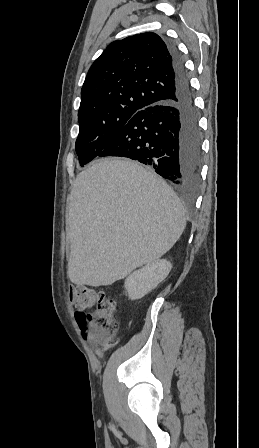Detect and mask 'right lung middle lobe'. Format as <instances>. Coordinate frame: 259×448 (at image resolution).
Instances as JSON below:
<instances>
[{
  "mask_svg": "<svg viewBox=\"0 0 259 448\" xmlns=\"http://www.w3.org/2000/svg\"><path fill=\"white\" fill-rule=\"evenodd\" d=\"M140 109H128L109 114L87 113L78 115L80 124L75 149L80 165L97 157L119 131Z\"/></svg>",
  "mask_w": 259,
  "mask_h": 448,
  "instance_id": "1",
  "label": "right lung middle lobe"
}]
</instances>
